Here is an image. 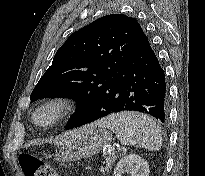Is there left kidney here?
I'll list each match as a JSON object with an SVG mask.
<instances>
[{
    "label": "left kidney",
    "instance_id": "left-kidney-1",
    "mask_svg": "<svg viewBox=\"0 0 205 176\" xmlns=\"http://www.w3.org/2000/svg\"><path fill=\"white\" fill-rule=\"evenodd\" d=\"M126 172L130 173L131 176H148L149 164L139 155H127L117 163L114 176H122Z\"/></svg>",
    "mask_w": 205,
    "mask_h": 176
}]
</instances>
